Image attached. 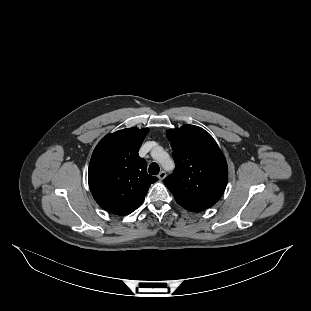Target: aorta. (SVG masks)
<instances>
[{"label":"aorta","mask_w":311,"mask_h":311,"mask_svg":"<svg viewBox=\"0 0 311 311\" xmlns=\"http://www.w3.org/2000/svg\"><path fill=\"white\" fill-rule=\"evenodd\" d=\"M153 151H155V152L158 151V156H157V157H156L155 155H153ZM153 151H152V156H153L154 158H156V159H159V160H160L161 156H163V155H167V156H168V154L165 153V152L163 151L162 147H158V148H156V149L153 150Z\"/></svg>","instance_id":"aorta-1"}]
</instances>
